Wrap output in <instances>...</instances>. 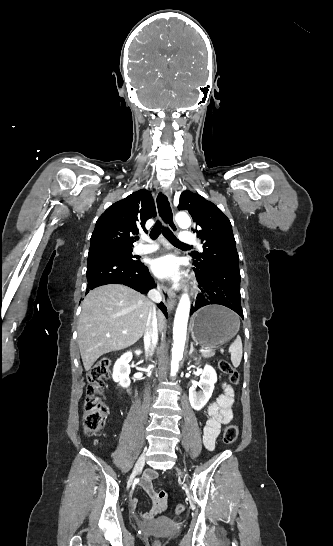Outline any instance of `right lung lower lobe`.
<instances>
[{
	"label": "right lung lower lobe",
	"instance_id": "98d812e1",
	"mask_svg": "<svg viewBox=\"0 0 333 546\" xmlns=\"http://www.w3.org/2000/svg\"><path fill=\"white\" fill-rule=\"evenodd\" d=\"M86 276V294L90 289L106 284H124L142 294L155 287L148 268L140 260L128 261L102 251L89 252ZM158 307L167 315V309L162 302Z\"/></svg>",
	"mask_w": 333,
	"mask_h": 546
}]
</instances>
